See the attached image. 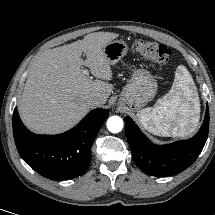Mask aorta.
<instances>
[{
    "instance_id": "762f6f07",
    "label": "aorta",
    "mask_w": 215,
    "mask_h": 215,
    "mask_svg": "<svg viewBox=\"0 0 215 215\" xmlns=\"http://www.w3.org/2000/svg\"><path fill=\"white\" fill-rule=\"evenodd\" d=\"M107 128L112 133H118L123 128V120L119 116H112L107 120Z\"/></svg>"
}]
</instances>
